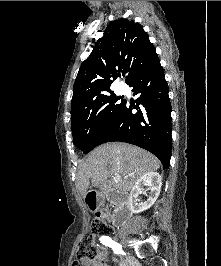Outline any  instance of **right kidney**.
Listing matches in <instances>:
<instances>
[{
    "label": "right kidney",
    "instance_id": "1",
    "mask_svg": "<svg viewBox=\"0 0 221 266\" xmlns=\"http://www.w3.org/2000/svg\"><path fill=\"white\" fill-rule=\"evenodd\" d=\"M162 185V177L157 172H147L143 174L135 183L130 192V206L133 213H140L149 209L157 200ZM148 187L150 193L147 201L140 202L138 199L139 194L144 191V188Z\"/></svg>",
    "mask_w": 221,
    "mask_h": 266
}]
</instances>
